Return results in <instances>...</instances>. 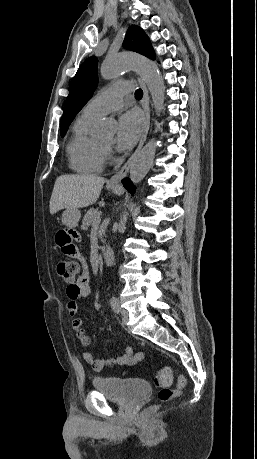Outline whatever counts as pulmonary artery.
Masks as SVG:
<instances>
[{
  "instance_id": "1",
  "label": "pulmonary artery",
  "mask_w": 257,
  "mask_h": 459,
  "mask_svg": "<svg viewBox=\"0 0 257 459\" xmlns=\"http://www.w3.org/2000/svg\"><path fill=\"white\" fill-rule=\"evenodd\" d=\"M131 92V82L122 81L103 90L84 109V113L91 117H101L116 111L123 105V98Z\"/></svg>"
}]
</instances>
